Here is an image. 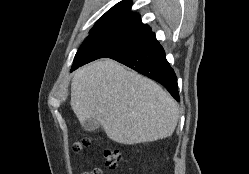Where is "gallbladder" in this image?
<instances>
[{"instance_id": "1", "label": "gallbladder", "mask_w": 249, "mask_h": 174, "mask_svg": "<svg viewBox=\"0 0 249 174\" xmlns=\"http://www.w3.org/2000/svg\"><path fill=\"white\" fill-rule=\"evenodd\" d=\"M82 127L86 131H95L100 127L99 121L95 118H90L82 123Z\"/></svg>"}]
</instances>
